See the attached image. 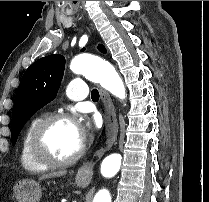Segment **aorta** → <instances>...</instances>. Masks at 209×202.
<instances>
[{
  "mask_svg": "<svg viewBox=\"0 0 209 202\" xmlns=\"http://www.w3.org/2000/svg\"><path fill=\"white\" fill-rule=\"evenodd\" d=\"M70 69L75 74H81L89 80L99 83L117 98L123 100L126 98V90L121 77L116 69L109 63L98 57L81 54L75 56ZM121 167V156L113 153L105 157L101 163V174L104 177H113ZM112 198L108 190H99L93 199V202H111Z\"/></svg>",
  "mask_w": 209,
  "mask_h": 202,
  "instance_id": "762f6f07",
  "label": "aorta"
}]
</instances>
